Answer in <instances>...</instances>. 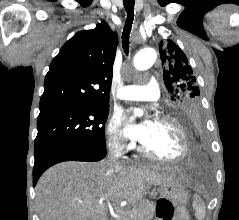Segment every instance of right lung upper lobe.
Returning a JSON list of instances; mask_svg holds the SVG:
<instances>
[{"mask_svg":"<svg viewBox=\"0 0 239 220\" xmlns=\"http://www.w3.org/2000/svg\"><path fill=\"white\" fill-rule=\"evenodd\" d=\"M117 37L103 21L76 33L52 60L40 111L109 106Z\"/></svg>","mask_w":239,"mask_h":220,"instance_id":"obj_1","label":"right lung upper lobe"}]
</instances>
